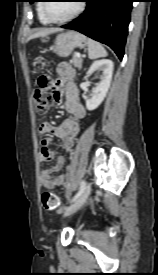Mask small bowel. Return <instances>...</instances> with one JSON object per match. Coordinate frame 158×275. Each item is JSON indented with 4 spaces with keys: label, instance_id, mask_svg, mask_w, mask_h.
<instances>
[{
    "label": "small bowel",
    "instance_id": "small-bowel-1",
    "mask_svg": "<svg viewBox=\"0 0 158 275\" xmlns=\"http://www.w3.org/2000/svg\"><path fill=\"white\" fill-rule=\"evenodd\" d=\"M57 74L59 78L56 81H51L48 76L43 77L49 79V87L52 86L54 89L56 103L61 102V88H65L64 106L71 118L63 120L57 127L48 122L40 125L39 133L43 137L39 156L41 162L52 161L55 157L54 151L49 148L51 134L61 139L62 146L67 152L73 150L75 140L80 132V121L85 117V109L79 100V91L74 83L75 71L68 63L62 62L57 66ZM64 163L65 157L59 156L52 167L41 170L40 182L44 188L53 189L64 184L65 176L63 174L56 175L61 171Z\"/></svg>",
    "mask_w": 158,
    "mask_h": 275
}]
</instances>
